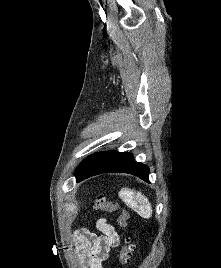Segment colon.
I'll return each instance as SVG.
<instances>
[{
  "label": "colon",
  "mask_w": 221,
  "mask_h": 268,
  "mask_svg": "<svg viewBox=\"0 0 221 268\" xmlns=\"http://www.w3.org/2000/svg\"><path fill=\"white\" fill-rule=\"evenodd\" d=\"M93 208L95 210H100L108 213L118 211L119 212V217L117 219L118 227L121 229L127 227L129 221V213L117 203L108 200L105 196L103 195L97 196L93 201ZM133 251H134V245L130 242L128 238H125L119 256L120 263L123 266L130 265L133 257Z\"/></svg>",
  "instance_id": "obj_1"
}]
</instances>
